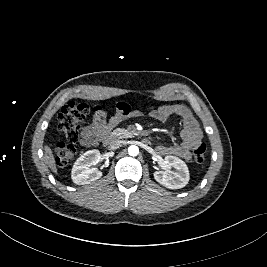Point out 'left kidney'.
<instances>
[{
	"label": "left kidney",
	"mask_w": 267,
	"mask_h": 267,
	"mask_svg": "<svg viewBox=\"0 0 267 267\" xmlns=\"http://www.w3.org/2000/svg\"><path fill=\"white\" fill-rule=\"evenodd\" d=\"M166 171H155L154 179L169 189H180L185 187L190 179L189 170L184 161L175 156H166L164 159ZM174 170L170 171L169 168Z\"/></svg>",
	"instance_id": "left-kidney-1"
}]
</instances>
